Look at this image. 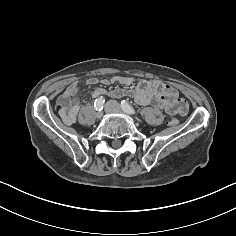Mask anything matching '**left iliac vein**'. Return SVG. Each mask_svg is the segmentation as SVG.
Segmentation results:
<instances>
[{"mask_svg": "<svg viewBox=\"0 0 236 236\" xmlns=\"http://www.w3.org/2000/svg\"><path fill=\"white\" fill-rule=\"evenodd\" d=\"M112 104H113V110L114 111H120V106L116 103V102H112Z\"/></svg>", "mask_w": 236, "mask_h": 236, "instance_id": "left-iliac-vein-1", "label": "left iliac vein"}]
</instances>
